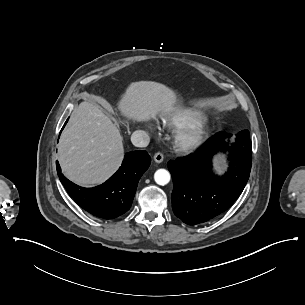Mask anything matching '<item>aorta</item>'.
<instances>
[{
    "instance_id": "aorta-1",
    "label": "aorta",
    "mask_w": 305,
    "mask_h": 305,
    "mask_svg": "<svg viewBox=\"0 0 305 305\" xmlns=\"http://www.w3.org/2000/svg\"><path fill=\"white\" fill-rule=\"evenodd\" d=\"M155 182L159 185H166L170 181V173L165 169H158L154 174Z\"/></svg>"
}]
</instances>
